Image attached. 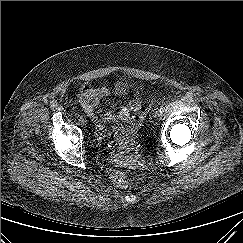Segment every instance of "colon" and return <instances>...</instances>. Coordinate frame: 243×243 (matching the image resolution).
I'll list each match as a JSON object with an SVG mask.
<instances>
[{
    "label": "colon",
    "instance_id": "obj_1",
    "mask_svg": "<svg viewBox=\"0 0 243 243\" xmlns=\"http://www.w3.org/2000/svg\"><path fill=\"white\" fill-rule=\"evenodd\" d=\"M113 183L120 188H125L129 185L130 177L129 175L124 171H116L113 174Z\"/></svg>",
    "mask_w": 243,
    "mask_h": 243
}]
</instances>
